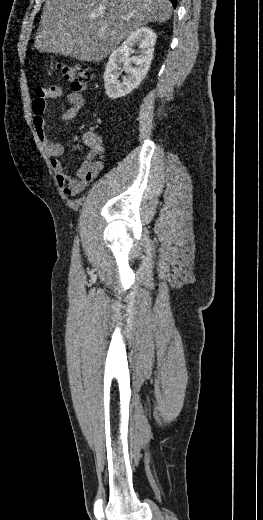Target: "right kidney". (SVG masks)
Returning a JSON list of instances; mask_svg holds the SVG:
<instances>
[{
  "instance_id": "obj_1",
  "label": "right kidney",
  "mask_w": 263,
  "mask_h": 520,
  "mask_svg": "<svg viewBox=\"0 0 263 520\" xmlns=\"http://www.w3.org/2000/svg\"><path fill=\"white\" fill-rule=\"evenodd\" d=\"M156 34L148 27H141L132 33L109 57L104 72L106 95L117 99L132 92L145 78L153 59ZM138 47V55L130 58ZM123 64V68L121 65ZM126 76L119 80L121 73Z\"/></svg>"
}]
</instances>
